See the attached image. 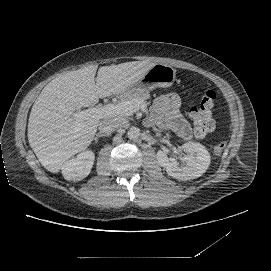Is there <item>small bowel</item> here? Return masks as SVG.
Instances as JSON below:
<instances>
[{
	"label": "small bowel",
	"mask_w": 271,
	"mask_h": 271,
	"mask_svg": "<svg viewBox=\"0 0 271 271\" xmlns=\"http://www.w3.org/2000/svg\"><path fill=\"white\" fill-rule=\"evenodd\" d=\"M156 108L161 113L164 122L178 135L188 139L191 128L180 113L181 101L175 94L162 95L156 100Z\"/></svg>",
	"instance_id": "small-bowel-1"
}]
</instances>
